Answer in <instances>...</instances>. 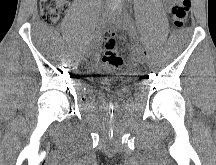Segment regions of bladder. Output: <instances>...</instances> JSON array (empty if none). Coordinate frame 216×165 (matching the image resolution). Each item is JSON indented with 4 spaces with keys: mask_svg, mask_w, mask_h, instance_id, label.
I'll return each instance as SVG.
<instances>
[{
    "mask_svg": "<svg viewBox=\"0 0 216 165\" xmlns=\"http://www.w3.org/2000/svg\"><path fill=\"white\" fill-rule=\"evenodd\" d=\"M130 80V76H93V89H87L86 93L98 94L106 103H115L117 97L125 98L131 93L125 89V86L131 85Z\"/></svg>",
    "mask_w": 216,
    "mask_h": 165,
    "instance_id": "1",
    "label": "bladder"
}]
</instances>
